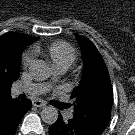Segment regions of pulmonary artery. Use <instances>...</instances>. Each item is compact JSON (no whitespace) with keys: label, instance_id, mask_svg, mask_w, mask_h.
<instances>
[{"label":"pulmonary artery","instance_id":"e3ab8cb5","mask_svg":"<svg viewBox=\"0 0 135 135\" xmlns=\"http://www.w3.org/2000/svg\"><path fill=\"white\" fill-rule=\"evenodd\" d=\"M66 70L63 68L57 69L58 74H63ZM47 87L43 84L31 83L23 86L16 87L12 90L13 95H19L22 93L30 96H37L46 91ZM72 117V113L68 115V118Z\"/></svg>","mask_w":135,"mask_h":135}]
</instances>
